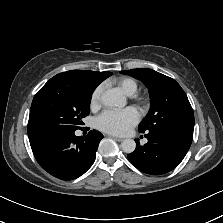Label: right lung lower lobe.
Instances as JSON below:
<instances>
[{"instance_id":"1","label":"right lung lower lobe","mask_w":223,"mask_h":223,"mask_svg":"<svg viewBox=\"0 0 223 223\" xmlns=\"http://www.w3.org/2000/svg\"><path fill=\"white\" fill-rule=\"evenodd\" d=\"M103 135L90 131L75 136V131L54 134L30 142L39 165L49 174L62 180H72L84 174L93 164Z\"/></svg>"}]
</instances>
